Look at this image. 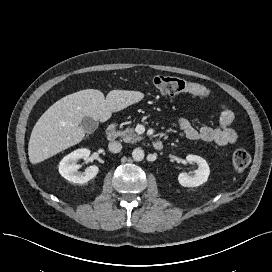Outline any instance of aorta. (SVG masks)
I'll list each match as a JSON object with an SVG mask.
<instances>
[{
    "label": "aorta",
    "instance_id": "1",
    "mask_svg": "<svg viewBox=\"0 0 272 272\" xmlns=\"http://www.w3.org/2000/svg\"><path fill=\"white\" fill-rule=\"evenodd\" d=\"M145 153L141 148H135L132 152V157L135 161H142L144 159Z\"/></svg>",
    "mask_w": 272,
    "mask_h": 272
}]
</instances>
